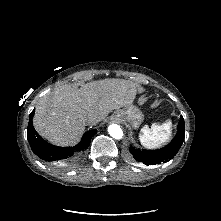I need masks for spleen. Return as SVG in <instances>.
Returning <instances> with one entry per match:
<instances>
[{"mask_svg": "<svg viewBox=\"0 0 221 221\" xmlns=\"http://www.w3.org/2000/svg\"><path fill=\"white\" fill-rule=\"evenodd\" d=\"M171 126L172 123L170 120L163 124H153L151 128L147 125L144 126L139 135L142 146L148 149L159 147L170 138Z\"/></svg>", "mask_w": 221, "mask_h": 221, "instance_id": "spleen-1", "label": "spleen"}]
</instances>
